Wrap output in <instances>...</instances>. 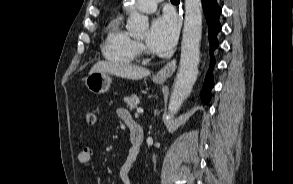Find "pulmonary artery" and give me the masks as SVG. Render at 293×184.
<instances>
[{
	"label": "pulmonary artery",
	"instance_id": "obj_1",
	"mask_svg": "<svg viewBox=\"0 0 293 184\" xmlns=\"http://www.w3.org/2000/svg\"><path fill=\"white\" fill-rule=\"evenodd\" d=\"M162 0H138L136 7L144 13H152L156 10L157 4Z\"/></svg>",
	"mask_w": 293,
	"mask_h": 184
}]
</instances>
